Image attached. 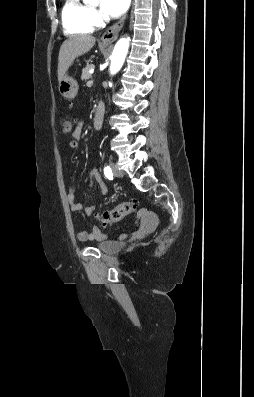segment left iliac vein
I'll return each mask as SVG.
<instances>
[{
	"instance_id": "left-iliac-vein-1",
	"label": "left iliac vein",
	"mask_w": 254,
	"mask_h": 397,
	"mask_svg": "<svg viewBox=\"0 0 254 397\" xmlns=\"http://www.w3.org/2000/svg\"><path fill=\"white\" fill-rule=\"evenodd\" d=\"M112 171L115 177L122 178L124 176L123 171H121L115 164H112Z\"/></svg>"
}]
</instances>
